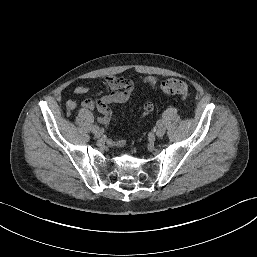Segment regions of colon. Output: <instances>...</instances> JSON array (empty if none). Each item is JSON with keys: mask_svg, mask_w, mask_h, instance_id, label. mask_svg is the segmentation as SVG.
Returning a JSON list of instances; mask_svg holds the SVG:
<instances>
[{"mask_svg": "<svg viewBox=\"0 0 257 257\" xmlns=\"http://www.w3.org/2000/svg\"><path fill=\"white\" fill-rule=\"evenodd\" d=\"M161 91L167 95H177L182 100H188L190 96L187 84L179 79H168L160 86Z\"/></svg>", "mask_w": 257, "mask_h": 257, "instance_id": "5ec220e1", "label": "colon"}]
</instances>
